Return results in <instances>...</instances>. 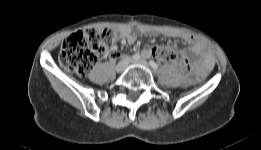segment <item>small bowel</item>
Listing matches in <instances>:
<instances>
[{"instance_id": "small-bowel-1", "label": "small bowel", "mask_w": 261, "mask_h": 150, "mask_svg": "<svg viewBox=\"0 0 261 150\" xmlns=\"http://www.w3.org/2000/svg\"><path fill=\"white\" fill-rule=\"evenodd\" d=\"M141 33L150 35L152 34L151 30L143 29ZM122 43L133 44L137 41V34L132 28H126L122 30ZM185 41L190 44L191 52L197 57V60L194 63V74L193 77L197 78L205 74L208 70H210L214 64L212 55L206 49V47L198 41L196 38L192 36H186ZM152 55V50L145 49L142 52V56L144 58H149ZM116 57V54H112V59Z\"/></svg>"}]
</instances>
